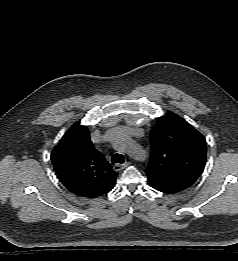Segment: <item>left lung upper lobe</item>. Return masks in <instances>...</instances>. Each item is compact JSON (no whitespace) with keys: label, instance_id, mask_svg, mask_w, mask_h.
<instances>
[{"label":"left lung upper lobe","instance_id":"1","mask_svg":"<svg viewBox=\"0 0 238 261\" xmlns=\"http://www.w3.org/2000/svg\"><path fill=\"white\" fill-rule=\"evenodd\" d=\"M152 152L145 170L152 187L170 193L190 187L204 170L205 138L180 116L159 117L151 134Z\"/></svg>","mask_w":238,"mask_h":261}]
</instances>
